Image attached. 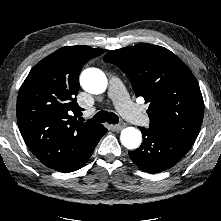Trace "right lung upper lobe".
<instances>
[{
  "label": "right lung upper lobe",
  "instance_id": "obj_1",
  "mask_svg": "<svg viewBox=\"0 0 221 221\" xmlns=\"http://www.w3.org/2000/svg\"><path fill=\"white\" fill-rule=\"evenodd\" d=\"M103 53L84 45L60 48L32 68L19 90V130L32 153L49 168H73L101 136V124L78 122L84 109L75 96L83 65Z\"/></svg>",
  "mask_w": 221,
  "mask_h": 221
}]
</instances>
